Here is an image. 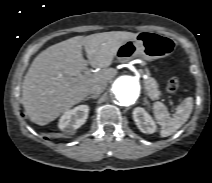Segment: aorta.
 Returning a JSON list of instances; mask_svg holds the SVG:
<instances>
[{
    "label": "aorta",
    "instance_id": "obj_1",
    "mask_svg": "<svg viewBox=\"0 0 212 183\" xmlns=\"http://www.w3.org/2000/svg\"><path fill=\"white\" fill-rule=\"evenodd\" d=\"M114 100L121 106H128L139 98L141 85L138 79L123 75L115 80L111 88Z\"/></svg>",
    "mask_w": 212,
    "mask_h": 183
}]
</instances>
